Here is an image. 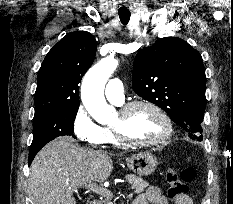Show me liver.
Instances as JSON below:
<instances>
[{
    "mask_svg": "<svg viewBox=\"0 0 233 204\" xmlns=\"http://www.w3.org/2000/svg\"><path fill=\"white\" fill-rule=\"evenodd\" d=\"M112 170L106 153L82 148L72 137L60 136L44 146L31 164L33 204H76L73 192L93 181H106Z\"/></svg>",
    "mask_w": 233,
    "mask_h": 204,
    "instance_id": "6515ba94",
    "label": "liver"
}]
</instances>
